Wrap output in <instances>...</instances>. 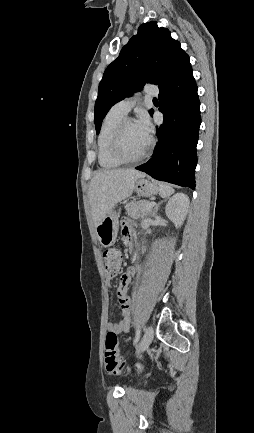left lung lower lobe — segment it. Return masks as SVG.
Masks as SVG:
<instances>
[{
    "instance_id": "1",
    "label": "left lung lower lobe",
    "mask_w": 254,
    "mask_h": 433,
    "mask_svg": "<svg viewBox=\"0 0 254 433\" xmlns=\"http://www.w3.org/2000/svg\"><path fill=\"white\" fill-rule=\"evenodd\" d=\"M159 90V110L164 121L156 129L158 143L152 158L136 169L157 180L194 189L201 117L197 85L186 53L177 61Z\"/></svg>"
}]
</instances>
